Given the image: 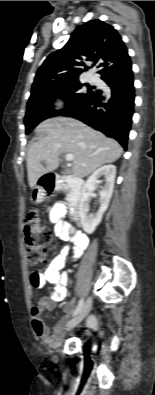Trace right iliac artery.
<instances>
[{
  "instance_id": "1",
  "label": "right iliac artery",
  "mask_w": 155,
  "mask_h": 395,
  "mask_svg": "<svg viewBox=\"0 0 155 395\" xmlns=\"http://www.w3.org/2000/svg\"><path fill=\"white\" fill-rule=\"evenodd\" d=\"M83 304H84V300H83V298H82V299H80V301H79V303H78V305H77V307H76V309H75L73 315H77V314L80 312V310H81L82 307H83Z\"/></svg>"
}]
</instances>
